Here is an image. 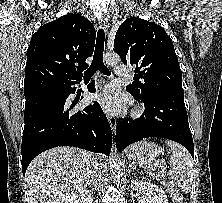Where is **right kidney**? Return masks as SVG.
I'll list each match as a JSON object with an SVG mask.
<instances>
[{
	"label": "right kidney",
	"instance_id": "1",
	"mask_svg": "<svg viewBox=\"0 0 222 203\" xmlns=\"http://www.w3.org/2000/svg\"><path fill=\"white\" fill-rule=\"evenodd\" d=\"M93 195L89 190L78 192L71 198L67 199L65 203H92Z\"/></svg>",
	"mask_w": 222,
	"mask_h": 203
}]
</instances>
